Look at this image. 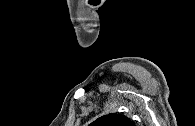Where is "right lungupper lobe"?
<instances>
[{
  "label": "right lung upper lobe",
  "mask_w": 195,
  "mask_h": 126,
  "mask_svg": "<svg viewBox=\"0 0 195 126\" xmlns=\"http://www.w3.org/2000/svg\"><path fill=\"white\" fill-rule=\"evenodd\" d=\"M89 126H135V124L124 115L109 114L98 118Z\"/></svg>",
  "instance_id": "1"
}]
</instances>
